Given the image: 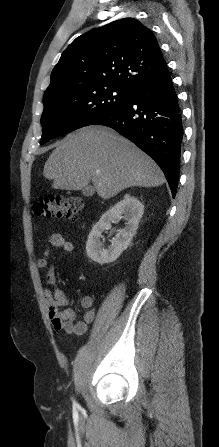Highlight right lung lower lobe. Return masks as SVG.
<instances>
[{
    "label": "right lung lower lobe",
    "instance_id": "98d812e1",
    "mask_svg": "<svg viewBox=\"0 0 219 447\" xmlns=\"http://www.w3.org/2000/svg\"><path fill=\"white\" fill-rule=\"evenodd\" d=\"M94 124L113 128L147 153L164 172L175 197L183 122L169 73L137 90L127 103L99 117Z\"/></svg>",
    "mask_w": 219,
    "mask_h": 447
}]
</instances>
